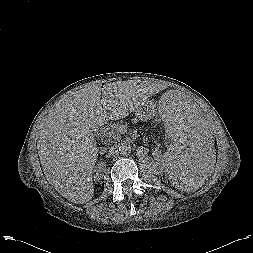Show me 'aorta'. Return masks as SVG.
<instances>
[{"instance_id":"aorta-1","label":"aorta","mask_w":253,"mask_h":253,"mask_svg":"<svg viewBox=\"0 0 253 253\" xmlns=\"http://www.w3.org/2000/svg\"><path fill=\"white\" fill-rule=\"evenodd\" d=\"M118 152L123 155H129L131 153V146L129 143L127 142H122L121 144H119L118 146Z\"/></svg>"}]
</instances>
